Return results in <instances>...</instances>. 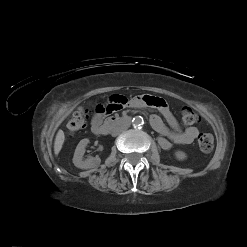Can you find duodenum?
<instances>
[{
    "mask_svg": "<svg viewBox=\"0 0 247 247\" xmlns=\"http://www.w3.org/2000/svg\"><path fill=\"white\" fill-rule=\"evenodd\" d=\"M131 122V117H110L103 124H100L94 131L97 135H105L114 127L119 125L129 124Z\"/></svg>",
    "mask_w": 247,
    "mask_h": 247,
    "instance_id": "duodenum-1",
    "label": "duodenum"
}]
</instances>
